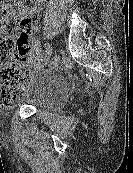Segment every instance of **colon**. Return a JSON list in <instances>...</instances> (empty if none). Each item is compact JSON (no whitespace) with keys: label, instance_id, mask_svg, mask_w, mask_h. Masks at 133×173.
Segmentation results:
<instances>
[{"label":"colon","instance_id":"obj_1","mask_svg":"<svg viewBox=\"0 0 133 173\" xmlns=\"http://www.w3.org/2000/svg\"><path fill=\"white\" fill-rule=\"evenodd\" d=\"M31 30L29 19L17 18L7 7L0 9V106L13 104L24 89Z\"/></svg>","mask_w":133,"mask_h":173}]
</instances>
